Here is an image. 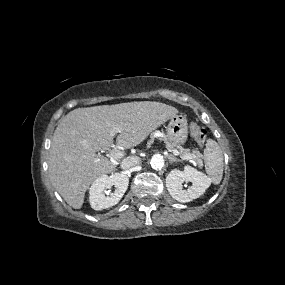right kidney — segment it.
Instances as JSON below:
<instances>
[{
	"label": "right kidney",
	"instance_id": "obj_1",
	"mask_svg": "<svg viewBox=\"0 0 285 285\" xmlns=\"http://www.w3.org/2000/svg\"><path fill=\"white\" fill-rule=\"evenodd\" d=\"M129 178L122 173L102 175L98 177L90 187L89 201L94 210H102L116 205L126 192ZM115 187L114 192L109 193L106 189Z\"/></svg>",
	"mask_w": 285,
	"mask_h": 285
}]
</instances>
